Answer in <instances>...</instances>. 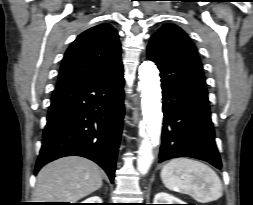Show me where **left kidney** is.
Listing matches in <instances>:
<instances>
[{"label": "left kidney", "instance_id": "obj_1", "mask_svg": "<svg viewBox=\"0 0 253 205\" xmlns=\"http://www.w3.org/2000/svg\"><path fill=\"white\" fill-rule=\"evenodd\" d=\"M153 204H186V203L170 194L160 192L155 195Z\"/></svg>", "mask_w": 253, "mask_h": 205}]
</instances>
